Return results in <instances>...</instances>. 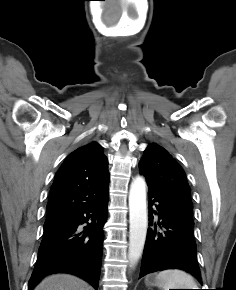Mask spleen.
<instances>
[{
    "label": "spleen",
    "mask_w": 236,
    "mask_h": 290,
    "mask_svg": "<svg viewBox=\"0 0 236 290\" xmlns=\"http://www.w3.org/2000/svg\"><path fill=\"white\" fill-rule=\"evenodd\" d=\"M156 279L163 290L197 288L193 277L179 269L163 270L157 274Z\"/></svg>",
    "instance_id": "1"
}]
</instances>
